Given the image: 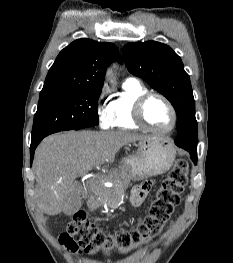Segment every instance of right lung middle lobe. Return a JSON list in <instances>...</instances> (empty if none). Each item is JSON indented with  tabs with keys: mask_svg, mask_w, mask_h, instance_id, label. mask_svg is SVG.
Wrapping results in <instances>:
<instances>
[{
	"mask_svg": "<svg viewBox=\"0 0 233 263\" xmlns=\"http://www.w3.org/2000/svg\"><path fill=\"white\" fill-rule=\"evenodd\" d=\"M100 94L101 89H76L40 95L31 142L55 132L97 125Z\"/></svg>",
	"mask_w": 233,
	"mask_h": 263,
	"instance_id": "right-lung-middle-lobe-1",
	"label": "right lung middle lobe"
}]
</instances>
